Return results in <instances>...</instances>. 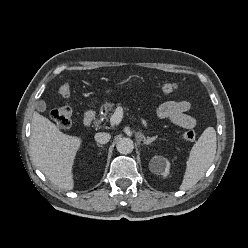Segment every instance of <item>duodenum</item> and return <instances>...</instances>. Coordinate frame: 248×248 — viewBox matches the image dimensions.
<instances>
[{
	"label": "duodenum",
	"mask_w": 248,
	"mask_h": 248,
	"mask_svg": "<svg viewBox=\"0 0 248 248\" xmlns=\"http://www.w3.org/2000/svg\"><path fill=\"white\" fill-rule=\"evenodd\" d=\"M95 118H96L95 111L92 109L88 110L84 114L82 123L85 127H88L95 121Z\"/></svg>",
	"instance_id": "obj_1"
}]
</instances>
